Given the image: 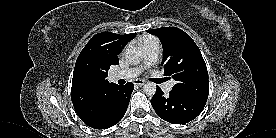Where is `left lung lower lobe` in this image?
Wrapping results in <instances>:
<instances>
[{"label": "left lung lower lobe", "instance_id": "left-lung-lower-lobe-1", "mask_svg": "<svg viewBox=\"0 0 276 138\" xmlns=\"http://www.w3.org/2000/svg\"><path fill=\"white\" fill-rule=\"evenodd\" d=\"M151 104L156 114L163 120L173 124H185L195 119L206 103L172 91L169 95H164L161 88L157 86Z\"/></svg>", "mask_w": 276, "mask_h": 138}]
</instances>
